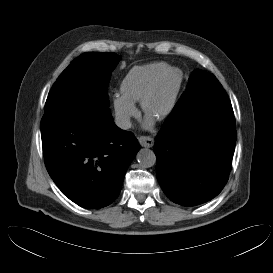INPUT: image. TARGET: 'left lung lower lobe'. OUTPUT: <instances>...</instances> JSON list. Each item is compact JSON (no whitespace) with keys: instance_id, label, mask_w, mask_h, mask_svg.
I'll use <instances>...</instances> for the list:
<instances>
[{"instance_id":"obj_1","label":"left lung lower lobe","mask_w":273,"mask_h":273,"mask_svg":"<svg viewBox=\"0 0 273 273\" xmlns=\"http://www.w3.org/2000/svg\"><path fill=\"white\" fill-rule=\"evenodd\" d=\"M208 86V92L174 107L154 143L158 182L182 206L216 197L231 170L237 138L233 109L225 91Z\"/></svg>"}]
</instances>
